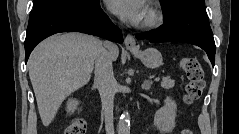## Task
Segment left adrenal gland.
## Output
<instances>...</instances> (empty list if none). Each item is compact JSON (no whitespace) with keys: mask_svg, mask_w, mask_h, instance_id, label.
<instances>
[{"mask_svg":"<svg viewBox=\"0 0 239 134\" xmlns=\"http://www.w3.org/2000/svg\"><path fill=\"white\" fill-rule=\"evenodd\" d=\"M151 85H152V81L151 80H145L142 84V88L144 90H150L151 88Z\"/></svg>","mask_w":239,"mask_h":134,"instance_id":"obj_1","label":"left adrenal gland"}]
</instances>
